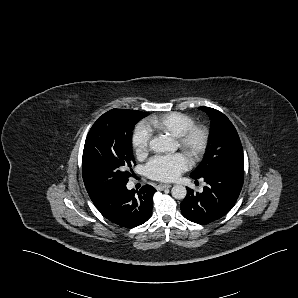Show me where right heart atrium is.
<instances>
[{"mask_svg": "<svg viewBox=\"0 0 298 298\" xmlns=\"http://www.w3.org/2000/svg\"><path fill=\"white\" fill-rule=\"evenodd\" d=\"M134 146L139 155H146L151 146V137L147 130L137 127L134 132Z\"/></svg>", "mask_w": 298, "mask_h": 298, "instance_id": "right-heart-atrium-1", "label": "right heart atrium"}]
</instances>
